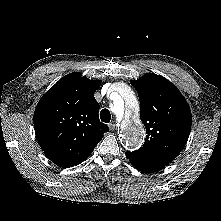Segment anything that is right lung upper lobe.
<instances>
[{
	"label": "right lung upper lobe",
	"instance_id": "right-lung-upper-lobe-1",
	"mask_svg": "<svg viewBox=\"0 0 221 221\" xmlns=\"http://www.w3.org/2000/svg\"><path fill=\"white\" fill-rule=\"evenodd\" d=\"M99 87L100 81L70 73L40 99L34 112L35 133L56 165L69 168L82 162L109 131L98 116L94 93Z\"/></svg>",
	"mask_w": 221,
	"mask_h": 221
}]
</instances>
